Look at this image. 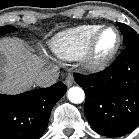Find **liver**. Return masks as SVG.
<instances>
[{"instance_id":"1","label":"liver","mask_w":139,"mask_h":139,"mask_svg":"<svg viewBox=\"0 0 139 139\" xmlns=\"http://www.w3.org/2000/svg\"><path fill=\"white\" fill-rule=\"evenodd\" d=\"M44 60L17 38L0 40V93L17 94L32 87Z\"/></svg>"}]
</instances>
